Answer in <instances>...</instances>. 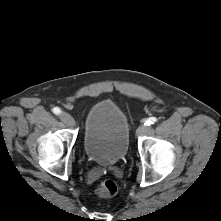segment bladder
<instances>
[{
	"instance_id": "1",
	"label": "bladder",
	"mask_w": 221,
	"mask_h": 221,
	"mask_svg": "<svg viewBox=\"0 0 221 221\" xmlns=\"http://www.w3.org/2000/svg\"><path fill=\"white\" fill-rule=\"evenodd\" d=\"M130 127L123 110L112 100L90 107L85 117L83 148L86 156L102 166L124 158L128 151Z\"/></svg>"
}]
</instances>
